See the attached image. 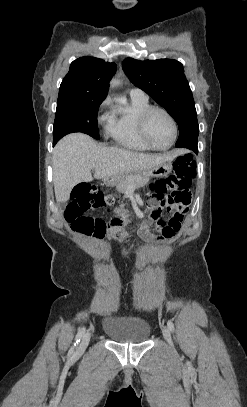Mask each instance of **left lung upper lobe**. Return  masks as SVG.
Returning <instances> with one entry per match:
<instances>
[{"mask_svg": "<svg viewBox=\"0 0 247 407\" xmlns=\"http://www.w3.org/2000/svg\"><path fill=\"white\" fill-rule=\"evenodd\" d=\"M122 68L135 86L175 119L179 127L176 147L197 146L199 126L195 103L182 64L174 59L139 61L127 58Z\"/></svg>", "mask_w": 247, "mask_h": 407, "instance_id": "left-lung-upper-lobe-1", "label": "left lung upper lobe"}]
</instances>
